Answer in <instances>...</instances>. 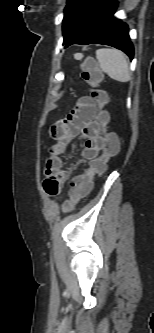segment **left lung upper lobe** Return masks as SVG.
<instances>
[{
  "mask_svg": "<svg viewBox=\"0 0 154 333\" xmlns=\"http://www.w3.org/2000/svg\"><path fill=\"white\" fill-rule=\"evenodd\" d=\"M98 0H68L64 10L63 36L65 45L78 30L83 17Z\"/></svg>",
  "mask_w": 154,
  "mask_h": 333,
  "instance_id": "left-lung-upper-lobe-1",
  "label": "left lung upper lobe"
}]
</instances>
